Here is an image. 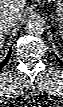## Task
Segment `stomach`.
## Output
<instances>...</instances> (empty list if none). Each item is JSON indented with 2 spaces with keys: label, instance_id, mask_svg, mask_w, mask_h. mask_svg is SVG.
Instances as JSON below:
<instances>
[{
  "label": "stomach",
  "instance_id": "1",
  "mask_svg": "<svg viewBox=\"0 0 63 107\" xmlns=\"http://www.w3.org/2000/svg\"><path fill=\"white\" fill-rule=\"evenodd\" d=\"M56 13L57 16L60 17V19H63V1L62 0H58L56 2Z\"/></svg>",
  "mask_w": 63,
  "mask_h": 107
}]
</instances>
